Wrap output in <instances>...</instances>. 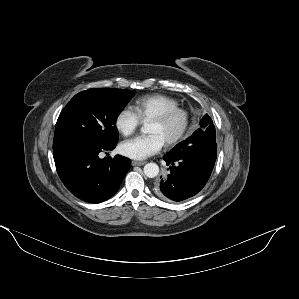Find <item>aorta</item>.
I'll use <instances>...</instances> for the list:
<instances>
[{"label": "aorta", "instance_id": "762f6f07", "mask_svg": "<svg viewBox=\"0 0 299 299\" xmlns=\"http://www.w3.org/2000/svg\"><path fill=\"white\" fill-rule=\"evenodd\" d=\"M141 131L143 133H149V127L147 125H144L141 128ZM159 173V166L156 163H147L144 166V174L148 177V178H154L158 175Z\"/></svg>", "mask_w": 299, "mask_h": 299}]
</instances>
